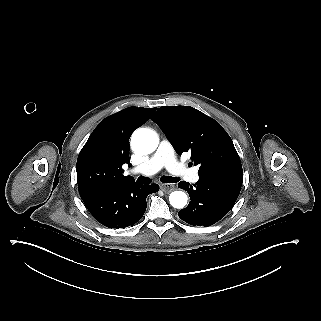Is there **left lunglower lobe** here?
Instances as JSON below:
<instances>
[{"instance_id": "0a47b994", "label": "left lung lower lobe", "mask_w": 321, "mask_h": 321, "mask_svg": "<svg viewBox=\"0 0 321 321\" xmlns=\"http://www.w3.org/2000/svg\"><path fill=\"white\" fill-rule=\"evenodd\" d=\"M243 181L242 168L219 169L199 175L196 184L181 181L191 201L178 216L193 226H211L222 219L235 204Z\"/></svg>"}]
</instances>
